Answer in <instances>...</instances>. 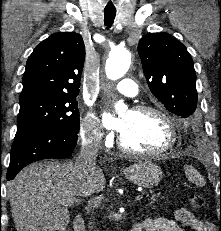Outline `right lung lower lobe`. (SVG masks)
I'll return each instance as SVG.
<instances>
[{
	"mask_svg": "<svg viewBox=\"0 0 221 231\" xmlns=\"http://www.w3.org/2000/svg\"><path fill=\"white\" fill-rule=\"evenodd\" d=\"M77 140V133L64 129L43 126L27 129L15 137L12 144L7 180L32 162L70 157Z\"/></svg>",
	"mask_w": 221,
	"mask_h": 231,
	"instance_id": "1",
	"label": "right lung lower lobe"
}]
</instances>
